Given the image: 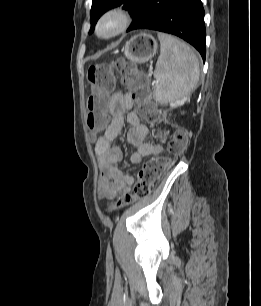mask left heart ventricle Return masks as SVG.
I'll return each mask as SVG.
<instances>
[{"label":"left heart ventricle","mask_w":261,"mask_h":306,"mask_svg":"<svg viewBox=\"0 0 261 306\" xmlns=\"http://www.w3.org/2000/svg\"><path fill=\"white\" fill-rule=\"evenodd\" d=\"M112 27V24H108V26L106 27V29H110Z\"/></svg>","instance_id":"left-heart-ventricle-1"}]
</instances>
